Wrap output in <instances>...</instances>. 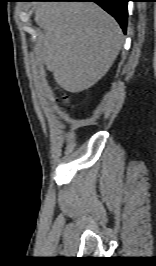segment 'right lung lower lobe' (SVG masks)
Wrapping results in <instances>:
<instances>
[{"label":"right lung lower lobe","instance_id":"right-lung-lower-lobe-1","mask_svg":"<svg viewBox=\"0 0 156 266\" xmlns=\"http://www.w3.org/2000/svg\"><path fill=\"white\" fill-rule=\"evenodd\" d=\"M32 1H92L111 14L120 24L124 33L127 27V2L129 0H32Z\"/></svg>","mask_w":156,"mask_h":266}]
</instances>
